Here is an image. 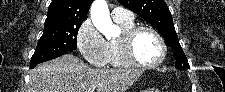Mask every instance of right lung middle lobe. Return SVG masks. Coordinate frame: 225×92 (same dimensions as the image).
<instances>
[{
	"label": "right lung middle lobe",
	"mask_w": 225,
	"mask_h": 92,
	"mask_svg": "<svg viewBox=\"0 0 225 92\" xmlns=\"http://www.w3.org/2000/svg\"><path fill=\"white\" fill-rule=\"evenodd\" d=\"M83 21L44 25L30 65L42 63L77 49V34Z\"/></svg>",
	"instance_id": "right-lung-middle-lobe-1"
}]
</instances>
